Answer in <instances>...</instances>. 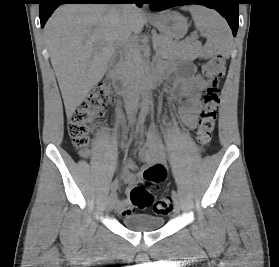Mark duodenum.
<instances>
[{
	"instance_id": "1",
	"label": "duodenum",
	"mask_w": 279,
	"mask_h": 267,
	"mask_svg": "<svg viewBox=\"0 0 279 267\" xmlns=\"http://www.w3.org/2000/svg\"><path fill=\"white\" fill-rule=\"evenodd\" d=\"M161 76L155 72L144 75L135 85L126 83L122 67L119 63L113 64L108 70V79L114 84L117 91L125 98L130 99L136 92L142 91L160 80Z\"/></svg>"
}]
</instances>
